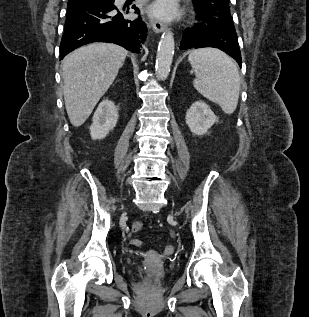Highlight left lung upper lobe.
<instances>
[{
    "label": "left lung upper lobe",
    "mask_w": 309,
    "mask_h": 317,
    "mask_svg": "<svg viewBox=\"0 0 309 317\" xmlns=\"http://www.w3.org/2000/svg\"><path fill=\"white\" fill-rule=\"evenodd\" d=\"M193 3L197 13L216 21L219 26L235 28L230 14L229 0H193Z\"/></svg>",
    "instance_id": "left-lung-upper-lobe-1"
}]
</instances>
